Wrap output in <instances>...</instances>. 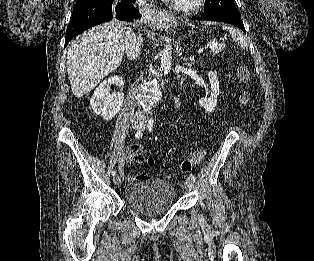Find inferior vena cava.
Segmentation results:
<instances>
[{"label": "inferior vena cava", "instance_id": "602c4592", "mask_svg": "<svg viewBox=\"0 0 314 261\" xmlns=\"http://www.w3.org/2000/svg\"><path fill=\"white\" fill-rule=\"evenodd\" d=\"M142 39L141 37L137 36L131 29L128 32L125 49L126 54L130 60H135L140 57L141 55V46ZM143 114L141 112L136 113V118H143Z\"/></svg>", "mask_w": 314, "mask_h": 261}]
</instances>
